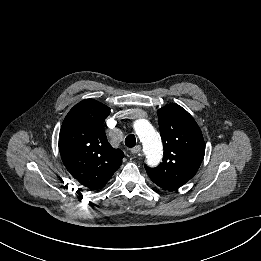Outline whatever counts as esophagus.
<instances>
[{"label":"esophagus","instance_id":"obj_1","mask_svg":"<svg viewBox=\"0 0 261 261\" xmlns=\"http://www.w3.org/2000/svg\"><path fill=\"white\" fill-rule=\"evenodd\" d=\"M140 150H141V146L137 145V146H135L134 148L131 149V153L137 154L138 152H140Z\"/></svg>","mask_w":261,"mask_h":261}]
</instances>
